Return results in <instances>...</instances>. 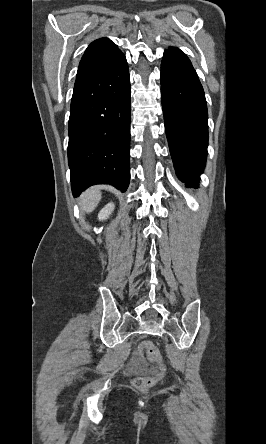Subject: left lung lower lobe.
<instances>
[{
    "label": "left lung lower lobe",
    "instance_id": "obj_1",
    "mask_svg": "<svg viewBox=\"0 0 266 444\" xmlns=\"http://www.w3.org/2000/svg\"><path fill=\"white\" fill-rule=\"evenodd\" d=\"M165 131L176 174L197 185L208 146V112L203 87L186 56L165 51L161 63Z\"/></svg>",
    "mask_w": 266,
    "mask_h": 444
}]
</instances>
